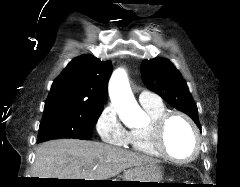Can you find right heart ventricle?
Here are the masks:
<instances>
[{
	"label": "right heart ventricle",
	"mask_w": 240,
	"mask_h": 187,
	"mask_svg": "<svg viewBox=\"0 0 240 187\" xmlns=\"http://www.w3.org/2000/svg\"><path fill=\"white\" fill-rule=\"evenodd\" d=\"M149 116V123L142 127L133 128L128 132V147L137 153L159 157L160 155L155 150L151 139V124L154 120L166 112L165 105L161 102L153 105H143Z\"/></svg>",
	"instance_id": "e07e8e85"
}]
</instances>
